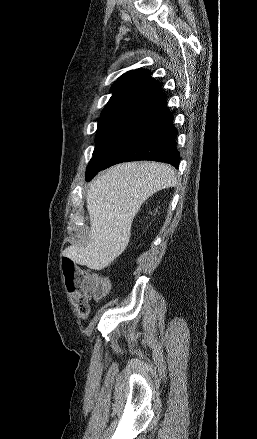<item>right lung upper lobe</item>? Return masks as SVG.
Instances as JSON below:
<instances>
[{
    "mask_svg": "<svg viewBox=\"0 0 257 439\" xmlns=\"http://www.w3.org/2000/svg\"><path fill=\"white\" fill-rule=\"evenodd\" d=\"M113 93L101 113V118H135L152 105L166 98L160 84L150 76L149 70L126 72L112 85Z\"/></svg>",
    "mask_w": 257,
    "mask_h": 439,
    "instance_id": "obj_1",
    "label": "right lung upper lobe"
}]
</instances>
